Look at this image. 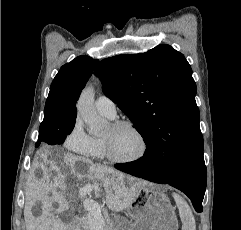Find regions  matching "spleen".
<instances>
[{
	"mask_svg": "<svg viewBox=\"0 0 241 230\" xmlns=\"http://www.w3.org/2000/svg\"><path fill=\"white\" fill-rule=\"evenodd\" d=\"M173 197L179 209L182 230H196L195 218L188 203L177 193H173Z\"/></svg>",
	"mask_w": 241,
	"mask_h": 230,
	"instance_id": "obj_1",
	"label": "spleen"
}]
</instances>
